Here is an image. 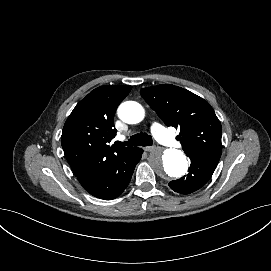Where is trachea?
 <instances>
[{
  "mask_svg": "<svg viewBox=\"0 0 271 271\" xmlns=\"http://www.w3.org/2000/svg\"><path fill=\"white\" fill-rule=\"evenodd\" d=\"M153 144L152 137L147 133H139L130 137L126 142H116L118 146H151Z\"/></svg>",
  "mask_w": 271,
  "mask_h": 271,
  "instance_id": "obj_1",
  "label": "trachea"
}]
</instances>
